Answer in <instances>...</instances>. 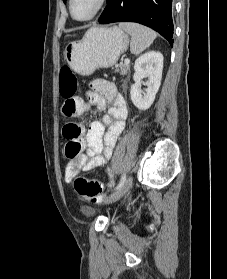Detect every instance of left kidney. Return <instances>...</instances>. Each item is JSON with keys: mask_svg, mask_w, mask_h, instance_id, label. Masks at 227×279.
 <instances>
[{"mask_svg": "<svg viewBox=\"0 0 227 279\" xmlns=\"http://www.w3.org/2000/svg\"><path fill=\"white\" fill-rule=\"evenodd\" d=\"M134 84L130 89L133 104L139 110H147L153 104L159 90L163 70V55L160 52L150 51L141 55L134 65ZM148 77L146 93L142 92V80Z\"/></svg>", "mask_w": 227, "mask_h": 279, "instance_id": "left-kidney-1", "label": "left kidney"}]
</instances>
